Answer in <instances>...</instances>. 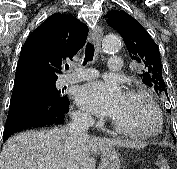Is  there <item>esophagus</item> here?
I'll return each mask as SVG.
<instances>
[{
	"mask_svg": "<svg viewBox=\"0 0 177 169\" xmlns=\"http://www.w3.org/2000/svg\"><path fill=\"white\" fill-rule=\"evenodd\" d=\"M102 37H103V30L100 26H96L95 28L92 29L90 33V39L98 49L101 47Z\"/></svg>",
	"mask_w": 177,
	"mask_h": 169,
	"instance_id": "obj_1",
	"label": "esophagus"
}]
</instances>
